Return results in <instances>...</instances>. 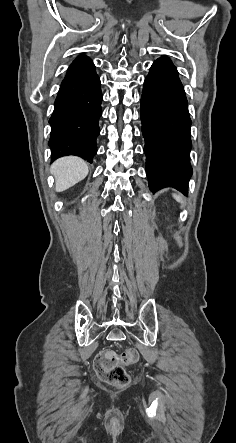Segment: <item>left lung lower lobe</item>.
I'll list each match as a JSON object with an SVG mask.
<instances>
[{"label":"left lung lower lobe","mask_w":236,"mask_h":443,"mask_svg":"<svg viewBox=\"0 0 236 443\" xmlns=\"http://www.w3.org/2000/svg\"><path fill=\"white\" fill-rule=\"evenodd\" d=\"M140 114L150 190L173 187L187 196L191 119L178 71L166 56L153 63L145 79Z\"/></svg>","instance_id":"obj_1"}]
</instances>
